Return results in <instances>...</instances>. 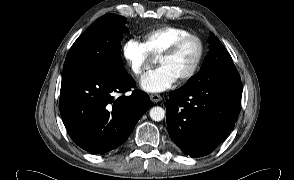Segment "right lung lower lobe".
Wrapping results in <instances>:
<instances>
[{"instance_id": "obj_1", "label": "right lung lower lobe", "mask_w": 294, "mask_h": 180, "mask_svg": "<svg viewBox=\"0 0 294 180\" xmlns=\"http://www.w3.org/2000/svg\"><path fill=\"white\" fill-rule=\"evenodd\" d=\"M129 75L79 73L62 78L60 113L72 140L91 153L104 154L123 144L141 116L151 107L145 92Z\"/></svg>"}]
</instances>
